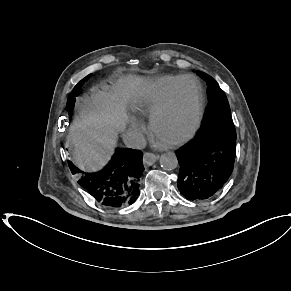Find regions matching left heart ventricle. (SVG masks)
Segmentation results:
<instances>
[{"label":"left heart ventricle","instance_id":"1","mask_svg":"<svg viewBox=\"0 0 291 291\" xmlns=\"http://www.w3.org/2000/svg\"><path fill=\"white\" fill-rule=\"evenodd\" d=\"M196 89L192 82H186L177 92L170 110L155 126L157 137L166 142L184 135L192 126L195 115Z\"/></svg>","mask_w":291,"mask_h":291}]
</instances>
